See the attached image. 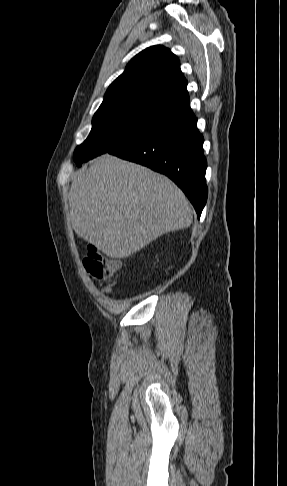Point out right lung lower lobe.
I'll return each instance as SVG.
<instances>
[{"mask_svg":"<svg viewBox=\"0 0 287 486\" xmlns=\"http://www.w3.org/2000/svg\"><path fill=\"white\" fill-rule=\"evenodd\" d=\"M203 142L188 104L108 153L168 176L183 190L200 218L208 194Z\"/></svg>","mask_w":287,"mask_h":486,"instance_id":"1","label":"right lung lower lobe"}]
</instances>
